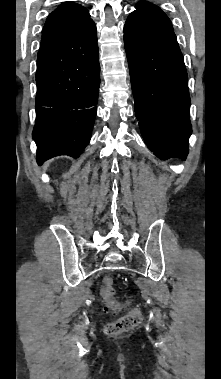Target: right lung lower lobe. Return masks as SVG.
Instances as JSON below:
<instances>
[{
  "mask_svg": "<svg viewBox=\"0 0 221 379\" xmlns=\"http://www.w3.org/2000/svg\"><path fill=\"white\" fill-rule=\"evenodd\" d=\"M95 23L37 56V162L58 156L79 157L89 143L100 86Z\"/></svg>",
  "mask_w": 221,
  "mask_h": 379,
  "instance_id": "98d812e1",
  "label": "right lung lower lobe"
}]
</instances>
